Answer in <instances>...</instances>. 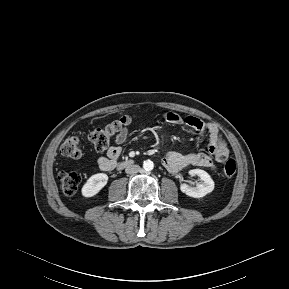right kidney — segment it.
I'll use <instances>...</instances> for the list:
<instances>
[{
    "label": "right kidney",
    "mask_w": 289,
    "mask_h": 289,
    "mask_svg": "<svg viewBox=\"0 0 289 289\" xmlns=\"http://www.w3.org/2000/svg\"><path fill=\"white\" fill-rule=\"evenodd\" d=\"M108 181V176L104 173L92 175L82 187V195L84 197H92L96 195Z\"/></svg>",
    "instance_id": "ca27d5eb"
}]
</instances>
